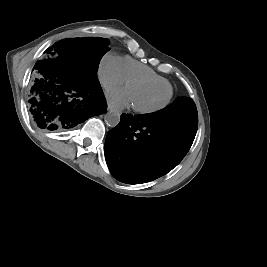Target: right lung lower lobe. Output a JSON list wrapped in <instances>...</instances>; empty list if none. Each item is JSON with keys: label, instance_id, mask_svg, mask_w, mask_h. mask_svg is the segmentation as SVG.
<instances>
[{"label": "right lung lower lobe", "instance_id": "1", "mask_svg": "<svg viewBox=\"0 0 267 267\" xmlns=\"http://www.w3.org/2000/svg\"><path fill=\"white\" fill-rule=\"evenodd\" d=\"M37 61L29 93V111L41 129L63 131L107 109L99 81L84 75L66 53L47 49Z\"/></svg>", "mask_w": 267, "mask_h": 267}]
</instances>
